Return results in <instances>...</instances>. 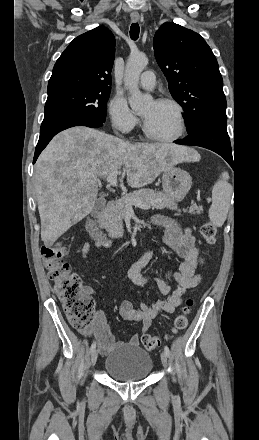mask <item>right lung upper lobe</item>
Returning a JSON list of instances; mask_svg holds the SVG:
<instances>
[{
    "label": "right lung upper lobe",
    "mask_w": 259,
    "mask_h": 440,
    "mask_svg": "<svg viewBox=\"0 0 259 440\" xmlns=\"http://www.w3.org/2000/svg\"><path fill=\"white\" fill-rule=\"evenodd\" d=\"M114 35L97 27L76 37L54 65L48 94L67 89L111 90Z\"/></svg>",
    "instance_id": "1"
}]
</instances>
